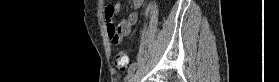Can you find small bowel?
Instances as JSON below:
<instances>
[{"instance_id": "small-bowel-1", "label": "small bowel", "mask_w": 279, "mask_h": 82, "mask_svg": "<svg viewBox=\"0 0 279 82\" xmlns=\"http://www.w3.org/2000/svg\"><path fill=\"white\" fill-rule=\"evenodd\" d=\"M143 4V0H132V12L127 19H123L117 25L113 24V15L119 13L120 5L114 4L106 7L105 18L107 22V32L111 45H118L123 38L129 35L138 19V11Z\"/></svg>"}]
</instances>
